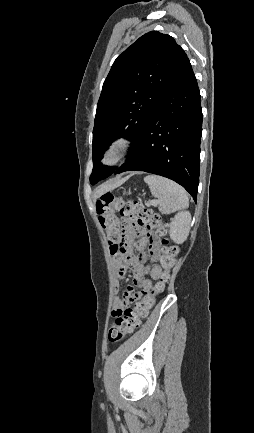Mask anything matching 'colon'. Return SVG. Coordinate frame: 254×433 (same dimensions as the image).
I'll use <instances>...</instances> for the list:
<instances>
[{"mask_svg":"<svg viewBox=\"0 0 254 433\" xmlns=\"http://www.w3.org/2000/svg\"><path fill=\"white\" fill-rule=\"evenodd\" d=\"M96 208L113 256L125 255L130 230L156 229L157 234L162 237L167 233V226L162 223L161 217L140 202L116 197L107 192L99 197ZM115 212H118L121 217L115 216ZM177 253L176 246L165 242L160 254V263L164 271L161 281L141 300L136 301L133 297H129L122 307L113 312V321L108 331L110 342H120L140 326L141 320L147 316L149 309L154 305L155 298L163 291L164 282L167 281L176 262ZM134 302H136L135 306L131 307L130 304Z\"/></svg>","mask_w":254,"mask_h":433,"instance_id":"1","label":"colon"}]
</instances>
